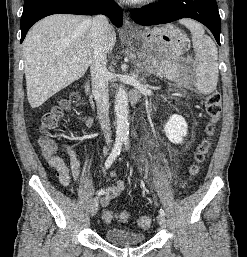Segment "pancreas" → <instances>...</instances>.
<instances>
[{"label":"pancreas","instance_id":"cf45deb5","mask_svg":"<svg viewBox=\"0 0 247 257\" xmlns=\"http://www.w3.org/2000/svg\"><path fill=\"white\" fill-rule=\"evenodd\" d=\"M174 72V67L170 64L156 65L154 73L159 77H169Z\"/></svg>","mask_w":247,"mask_h":257}]
</instances>
